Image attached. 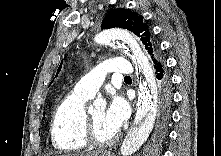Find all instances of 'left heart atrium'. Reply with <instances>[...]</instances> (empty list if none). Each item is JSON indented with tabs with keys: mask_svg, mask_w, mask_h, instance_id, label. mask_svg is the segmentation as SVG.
I'll return each mask as SVG.
<instances>
[{
	"mask_svg": "<svg viewBox=\"0 0 221 156\" xmlns=\"http://www.w3.org/2000/svg\"><path fill=\"white\" fill-rule=\"evenodd\" d=\"M129 114L130 108L127 101L122 96L114 95L105 112V122L116 133L127 121Z\"/></svg>",
	"mask_w": 221,
	"mask_h": 156,
	"instance_id": "left-heart-atrium-1",
	"label": "left heart atrium"
}]
</instances>
